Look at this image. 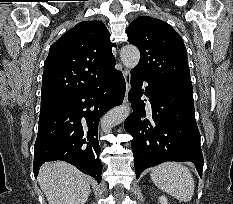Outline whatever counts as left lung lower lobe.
Segmentation results:
<instances>
[{
    "instance_id": "left-lung-lower-lobe-1",
    "label": "left lung lower lobe",
    "mask_w": 233,
    "mask_h": 204,
    "mask_svg": "<svg viewBox=\"0 0 233 204\" xmlns=\"http://www.w3.org/2000/svg\"><path fill=\"white\" fill-rule=\"evenodd\" d=\"M128 100L133 113L125 120V130L133 137L132 151L137 179L146 168L165 161H191L202 176L203 156L195 120L192 90L163 85L131 72ZM143 81L148 86L142 89ZM150 97L152 114L145 112L141 97Z\"/></svg>"
}]
</instances>
